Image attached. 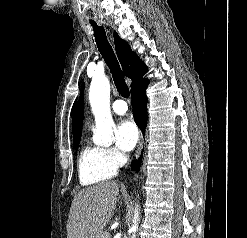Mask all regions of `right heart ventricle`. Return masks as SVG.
Masks as SVG:
<instances>
[{
  "label": "right heart ventricle",
  "mask_w": 247,
  "mask_h": 238,
  "mask_svg": "<svg viewBox=\"0 0 247 238\" xmlns=\"http://www.w3.org/2000/svg\"><path fill=\"white\" fill-rule=\"evenodd\" d=\"M117 173L105 155L104 148L86 142L78 156V176L83 186H91L109 180Z\"/></svg>",
  "instance_id": "right-heart-ventricle-1"
}]
</instances>
